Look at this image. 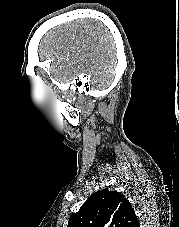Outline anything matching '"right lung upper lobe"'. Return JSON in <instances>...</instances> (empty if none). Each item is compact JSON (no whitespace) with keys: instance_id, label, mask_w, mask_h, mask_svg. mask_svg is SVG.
I'll return each mask as SVG.
<instances>
[{"instance_id":"cb5924a9","label":"right lung upper lobe","mask_w":179,"mask_h":227,"mask_svg":"<svg viewBox=\"0 0 179 227\" xmlns=\"http://www.w3.org/2000/svg\"><path fill=\"white\" fill-rule=\"evenodd\" d=\"M134 209L124 195L103 189L74 213L67 227H138Z\"/></svg>"}]
</instances>
